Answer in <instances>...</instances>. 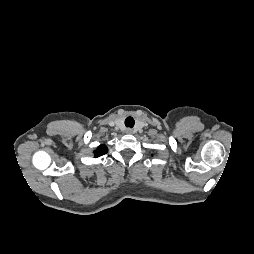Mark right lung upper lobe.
Instances as JSON below:
<instances>
[{
  "label": "right lung upper lobe",
  "instance_id": "obj_1",
  "mask_svg": "<svg viewBox=\"0 0 254 254\" xmlns=\"http://www.w3.org/2000/svg\"><path fill=\"white\" fill-rule=\"evenodd\" d=\"M108 149L106 145H100L96 151H94L95 153V157H99L104 155L105 153H107Z\"/></svg>",
  "mask_w": 254,
  "mask_h": 254
}]
</instances>
